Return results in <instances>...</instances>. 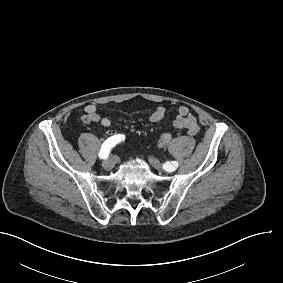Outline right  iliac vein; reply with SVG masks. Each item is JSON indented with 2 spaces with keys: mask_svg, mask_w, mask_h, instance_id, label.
Returning a JSON list of instances; mask_svg holds the SVG:
<instances>
[{
  "mask_svg": "<svg viewBox=\"0 0 283 283\" xmlns=\"http://www.w3.org/2000/svg\"><path fill=\"white\" fill-rule=\"evenodd\" d=\"M115 165V157H111L110 159L104 161L102 166L106 170H111Z\"/></svg>",
  "mask_w": 283,
  "mask_h": 283,
  "instance_id": "obj_1",
  "label": "right iliac vein"
}]
</instances>
